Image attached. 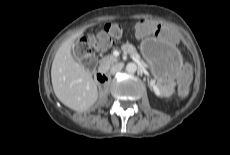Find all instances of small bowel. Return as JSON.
<instances>
[{"label":"small bowel","instance_id":"c3829d8e","mask_svg":"<svg viewBox=\"0 0 230 155\" xmlns=\"http://www.w3.org/2000/svg\"><path fill=\"white\" fill-rule=\"evenodd\" d=\"M156 31L158 36H162L165 42H170L172 46H177L180 43V37L175 34V30L166 23L161 21L153 22L152 20L143 19L141 25L138 26V33L145 35L147 32Z\"/></svg>","mask_w":230,"mask_h":155}]
</instances>
